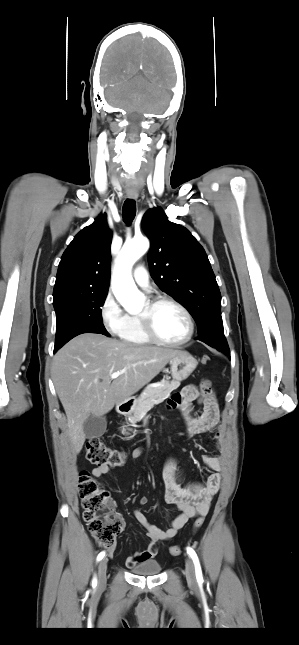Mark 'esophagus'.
Instances as JSON below:
<instances>
[{"mask_svg":"<svg viewBox=\"0 0 299 645\" xmlns=\"http://www.w3.org/2000/svg\"><path fill=\"white\" fill-rule=\"evenodd\" d=\"M128 197H129L130 199H137V195H136V194H130V195H128Z\"/></svg>","mask_w":299,"mask_h":645,"instance_id":"esophagus-1","label":"esophagus"}]
</instances>
